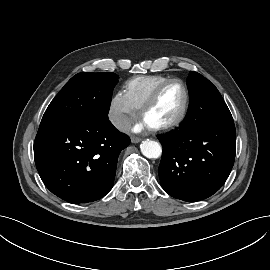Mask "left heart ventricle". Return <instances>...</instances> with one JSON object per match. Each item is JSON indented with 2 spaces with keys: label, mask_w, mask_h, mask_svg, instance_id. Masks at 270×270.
<instances>
[{
  "label": "left heart ventricle",
  "mask_w": 270,
  "mask_h": 270,
  "mask_svg": "<svg viewBox=\"0 0 270 270\" xmlns=\"http://www.w3.org/2000/svg\"><path fill=\"white\" fill-rule=\"evenodd\" d=\"M184 101L182 85L173 83L167 86L157 101L143 116V120L150 126L162 124L170 120L180 110Z\"/></svg>",
  "instance_id": "left-heart-ventricle-1"
}]
</instances>
